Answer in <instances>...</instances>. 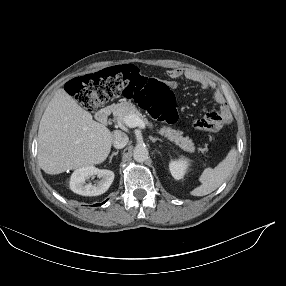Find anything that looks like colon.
Returning a JSON list of instances; mask_svg holds the SVG:
<instances>
[{"label": "colon", "instance_id": "1", "mask_svg": "<svg viewBox=\"0 0 286 286\" xmlns=\"http://www.w3.org/2000/svg\"><path fill=\"white\" fill-rule=\"evenodd\" d=\"M68 91L86 109L94 111L118 96L134 98L150 114L167 123L177 121L174 96L165 82L141 74L132 65L116 66L75 78L69 82ZM222 120L216 111L206 113L195 121L200 131L217 132Z\"/></svg>", "mask_w": 286, "mask_h": 286}]
</instances>
